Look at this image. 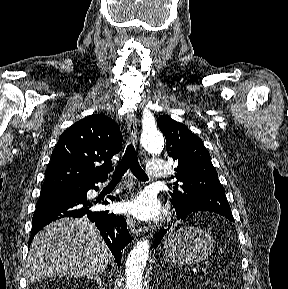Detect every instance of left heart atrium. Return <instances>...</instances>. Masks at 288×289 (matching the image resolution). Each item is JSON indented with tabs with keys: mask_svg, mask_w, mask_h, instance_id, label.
<instances>
[{
	"mask_svg": "<svg viewBox=\"0 0 288 289\" xmlns=\"http://www.w3.org/2000/svg\"><path fill=\"white\" fill-rule=\"evenodd\" d=\"M122 210L137 218H153L158 215L160 206L153 195L144 193L135 200L124 203Z\"/></svg>",
	"mask_w": 288,
	"mask_h": 289,
	"instance_id": "1",
	"label": "left heart atrium"
}]
</instances>
